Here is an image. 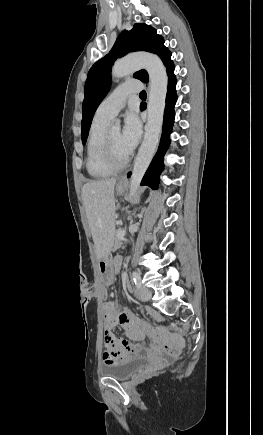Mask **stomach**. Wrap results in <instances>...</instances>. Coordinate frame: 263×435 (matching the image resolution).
Returning a JSON list of instances; mask_svg holds the SVG:
<instances>
[{"instance_id": "stomach-1", "label": "stomach", "mask_w": 263, "mask_h": 435, "mask_svg": "<svg viewBox=\"0 0 263 435\" xmlns=\"http://www.w3.org/2000/svg\"><path fill=\"white\" fill-rule=\"evenodd\" d=\"M125 182L120 181L117 184V192L118 194H122L124 192ZM98 268L100 271V281L106 282V286H111V282L117 281V274L114 273L113 269H111V260L109 258V254H106L98 262Z\"/></svg>"}]
</instances>
